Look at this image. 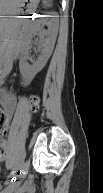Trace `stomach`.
Segmentation results:
<instances>
[{"label":"stomach","instance_id":"1","mask_svg":"<svg viewBox=\"0 0 103 193\" xmlns=\"http://www.w3.org/2000/svg\"><path fill=\"white\" fill-rule=\"evenodd\" d=\"M39 0H0V15L2 19V33L4 34L1 38V55L5 58L6 53L9 51L8 44L11 40V36L6 33L11 31L8 24L11 22L7 17L22 15L25 13L33 12Z\"/></svg>","mask_w":103,"mask_h":193}]
</instances>
